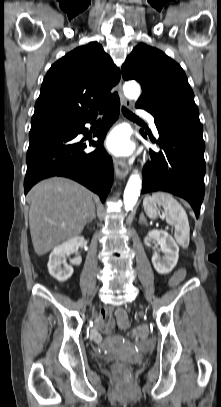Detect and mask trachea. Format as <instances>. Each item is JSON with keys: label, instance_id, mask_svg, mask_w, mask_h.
<instances>
[{"label": "trachea", "instance_id": "3493384b", "mask_svg": "<svg viewBox=\"0 0 221 407\" xmlns=\"http://www.w3.org/2000/svg\"><path fill=\"white\" fill-rule=\"evenodd\" d=\"M122 113L124 114V116H126L129 119L132 120H140L139 117H137L135 114H133L132 112H130L128 109H126L125 107H122Z\"/></svg>", "mask_w": 221, "mask_h": 407}]
</instances>
